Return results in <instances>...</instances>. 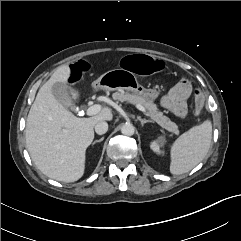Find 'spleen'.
I'll return each instance as SVG.
<instances>
[{"instance_id":"3e777b00","label":"spleen","mask_w":241,"mask_h":241,"mask_svg":"<svg viewBox=\"0 0 241 241\" xmlns=\"http://www.w3.org/2000/svg\"><path fill=\"white\" fill-rule=\"evenodd\" d=\"M212 139V123L204 121L180 135L170 149V172L180 175L198 165L209 151Z\"/></svg>"}]
</instances>
